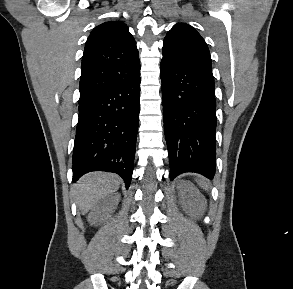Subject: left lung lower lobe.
I'll list each match as a JSON object with an SVG mask.
<instances>
[{
  "label": "left lung lower lobe",
  "instance_id": "left-lung-lower-lobe-1",
  "mask_svg": "<svg viewBox=\"0 0 293 289\" xmlns=\"http://www.w3.org/2000/svg\"><path fill=\"white\" fill-rule=\"evenodd\" d=\"M161 80L170 179L184 172L212 179L216 167L212 70H197L162 59Z\"/></svg>",
  "mask_w": 293,
  "mask_h": 289
}]
</instances>
